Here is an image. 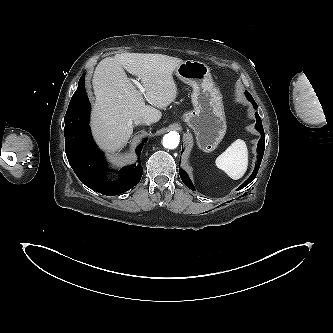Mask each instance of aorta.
Instances as JSON below:
<instances>
[{
    "label": "aorta",
    "instance_id": "762f6f07",
    "mask_svg": "<svg viewBox=\"0 0 333 333\" xmlns=\"http://www.w3.org/2000/svg\"><path fill=\"white\" fill-rule=\"evenodd\" d=\"M179 135L176 132H170L163 137V146L167 149H175L179 145Z\"/></svg>",
    "mask_w": 333,
    "mask_h": 333
}]
</instances>
